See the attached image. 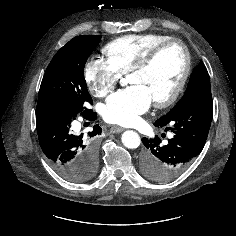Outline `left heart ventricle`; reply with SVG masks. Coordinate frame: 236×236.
<instances>
[{
  "instance_id": "obj_1",
  "label": "left heart ventricle",
  "mask_w": 236,
  "mask_h": 236,
  "mask_svg": "<svg viewBox=\"0 0 236 236\" xmlns=\"http://www.w3.org/2000/svg\"><path fill=\"white\" fill-rule=\"evenodd\" d=\"M184 68V54L177 44L167 46L146 70L129 75L128 82L141 85L152 101L167 97L176 86Z\"/></svg>"
}]
</instances>
